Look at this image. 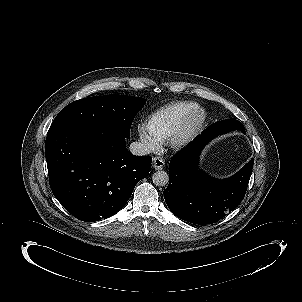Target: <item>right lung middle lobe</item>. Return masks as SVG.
Listing matches in <instances>:
<instances>
[{"instance_id":"right-lung-middle-lobe-1","label":"right lung middle lobe","mask_w":302,"mask_h":302,"mask_svg":"<svg viewBox=\"0 0 302 302\" xmlns=\"http://www.w3.org/2000/svg\"><path fill=\"white\" fill-rule=\"evenodd\" d=\"M145 102L143 98L118 94L80 99L58 113L49 131L69 125L96 124L129 138L133 119Z\"/></svg>"}]
</instances>
